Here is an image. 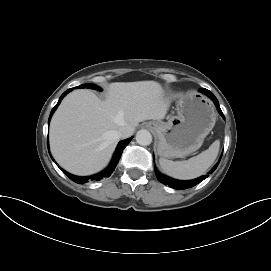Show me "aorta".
Returning a JSON list of instances; mask_svg holds the SVG:
<instances>
[{"label":"aorta","instance_id":"762f6f07","mask_svg":"<svg viewBox=\"0 0 271 271\" xmlns=\"http://www.w3.org/2000/svg\"><path fill=\"white\" fill-rule=\"evenodd\" d=\"M136 141L139 145L147 146L152 142V135L146 129H141L136 134Z\"/></svg>","mask_w":271,"mask_h":271}]
</instances>
